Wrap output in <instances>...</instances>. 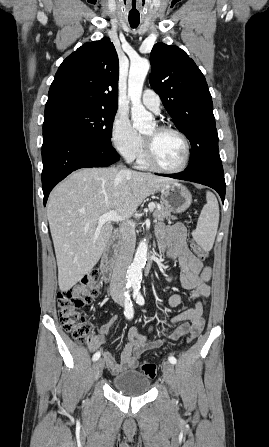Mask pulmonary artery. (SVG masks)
<instances>
[{
	"mask_svg": "<svg viewBox=\"0 0 269 447\" xmlns=\"http://www.w3.org/2000/svg\"><path fill=\"white\" fill-rule=\"evenodd\" d=\"M142 103L148 110L158 113L161 99L153 90L147 89L142 95Z\"/></svg>",
	"mask_w": 269,
	"mask_h": 447,
	"instance_id": "obj_1",
	"label": "pulmonary artery"
}]
</instances>
